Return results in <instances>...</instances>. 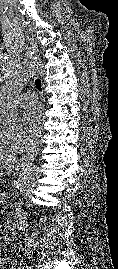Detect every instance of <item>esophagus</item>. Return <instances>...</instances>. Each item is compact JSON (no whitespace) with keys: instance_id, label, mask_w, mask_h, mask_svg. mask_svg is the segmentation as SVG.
<instances>
[{"instance_id":"obj_1","label":"esophagus","mask_w":118,"mask_h":269,"mask_svg":"<svg viewBox=\"0 0 118 269\" xmlns=\"http://www.w3.org/2000/svg\"><path fill=\"white\" fill-rule=\"evenodd\" d=\"M38 73L42 75V70L41 68H38ZM39 148L32 149L31 151H28L26 154H24L21 158L22 163H28L31 160H33L36 155L38 154Z\"/></svg>"}]
</instances>
